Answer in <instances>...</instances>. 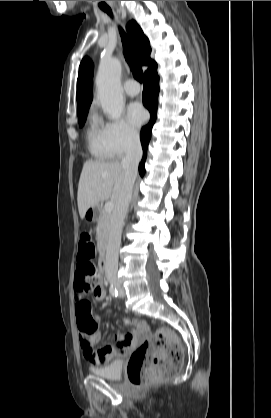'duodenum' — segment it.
<instances>
[{
	"instance_id": "obj_1",
	"label": "duodenum",
	"mask_w": 271,
	"mask_h": 418,
	"mask_svg": "<svg viewBox=\"0 0 271 418\" xmlns=\"http://www.w3.org/2000/svg\"><path fill=\"white\" fill-rule=\"evenodd\" d=\"M99 266L102 272H105L107 267V257L105 251H102L100 260H99Z\"/></svg>"
}]
</instances>
